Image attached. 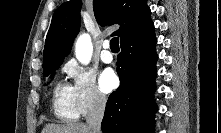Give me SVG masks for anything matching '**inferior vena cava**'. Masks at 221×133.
I'll use <instances>...</instances> for the list:
<instances>
[{"mask_svg": "<svg viewBox=\"0 0 221 133\" xmlns=\"http://www.w3.org/2000/svg\"><path fill=\"white\" fill-rule=\"evenodd\" d=\"M106 98L102 95H96L88 111L86 123L90 133H101V122L104 116Z\"/></svg>", "mask_w": 221, "mask_h": 133, "instance_id": "1", "label": "inferior vena cava"}]
</instances>
